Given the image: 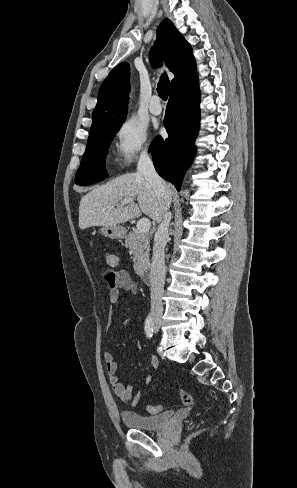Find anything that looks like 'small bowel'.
I'll return each instance as SVG.
<instances>
[{
	"instance_id": "c3829d8e",
	"label": "small bowel",
	"mask_w": 297,
	"mask_h": 488,
	"mask_svg": "<svg viewBox=\"0 0 297 488\" xmlns=\"http://www.w3.org/2000/svg\"><path fill=\"white\" fill-rule=\"evenodd\" d=\"M105 263L108 266L114 267L118 263V258L114 253L108 252L105 254ZM137 285L131 279L129 274L125 271H119L114 273V284L113 286L109 287L108 293V301L113 304L118 301L120 297L121 290L130 291L133 293L137 292ZM131 321L129 319L124 321V326H129ZM104 364L108 376V380L110 385L114 391V393L122 400L123 403L136 406L141 398V393H137L133 395V387L130 384H126L119 379L118 376V365L113 357V354L109 351L104 352L103 354ZM150 366L153 369L158 367V359L156 357H151L149 360ZM152 381V377L150 375L146 376L144 379V384L148 385Z\"/></svg>"
}]
</instances>
